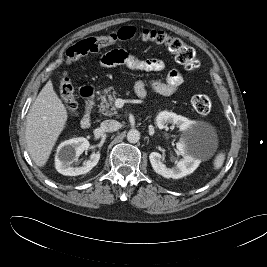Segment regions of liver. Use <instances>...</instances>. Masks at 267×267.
I'll return each mask as SVG.
<instances>
[{
    "instance_id": "liver-1",
    "label": "liver",
    "mask_w": 267,
    "mask_h": 267,
    "mask_svg": "<svg viewBox=\"0 0 267 267\" xmlns=\"http://www.w3.org/2000/svg\"><path fill=\"white\" fill-rule=\"evenodd\" d=\"M68 119L67 110L49 80L27 114L25 138L31 159L44 167Z\"/></svg>"
}]
</instances>
